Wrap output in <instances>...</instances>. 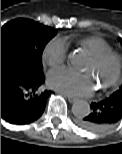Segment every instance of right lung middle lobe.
<instances>
[{
  "instance_id": "right-lung-middle-lobe-1",
  "label": "right lung middle lobe",
  "mask_w": 122,
  "mask_h": 154,
  "mask_svg": "<svg viewBox=\"0 0 122 154\" xmlns=\"http://www.w3.org/2000/svg\"><path fill=\"white\" fill-rule=\"evenodd\" d=\"M51 28L30 19H15L1 28V52L26 57L37 72H42L45 45L56 35Z\"/></svg>"
}]
</instances>
